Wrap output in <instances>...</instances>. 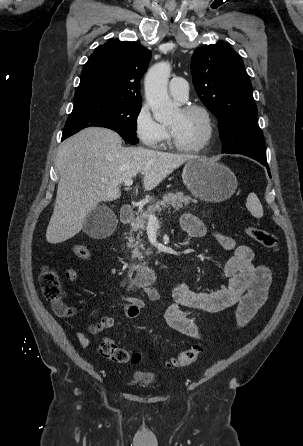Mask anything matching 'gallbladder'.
Here are the masks:
<instances>
[{
  "label": "gallbladder",
  "mask_w": 303,
  "mask_h": 446,
  "mask_svg": "<svg viewBox=\"0 0 303 446\" xmlns=\"http://www.w3.org/2000/svg\"><path fill=\"white\" fill-rule=\"evenodd\" d=\"M116 223V216L110 208L98 206L85 219L83 230L93 238H101L111 233Z\"/></svg>",
  "instance_id": "gallbladder-1"
}]
</instances>
